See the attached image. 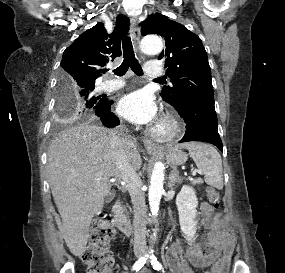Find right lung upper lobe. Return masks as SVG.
I'll list each match as a JSON object with an SVG mask.
<instances>
[{"mask_svg": "<svg viewBox=\"0 0 285 273\" xmlns=\"http://www.w3.org/2000/svg\"><path fill=\"white\" fill-rule=\"evenodd\" d=\"M129 31V19L117 16L116 26L108 34L102 22L82 33L63 53L61 75L73 85H95L101 67L121 56V38Z\"/></svg>", "mask_w": 285, "mask_h": 273, "instance_id": "obj_1", "label": "right lung upper lobe"}]
</instances>
